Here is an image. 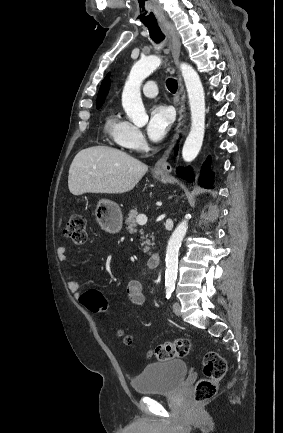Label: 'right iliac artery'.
I'll return each mask as SVG.
<instances>
[{
  "instance_id": "right-iliac-artery-1",
  "label": "right iliac artery",
  "mask_w": 283,
  "mask_h": 433,
  "mask_svg": "<svg viewBox=\"0 0 283 433\" xmlns=\"http://www.w3.org/2000/svg\"><path fill=\"white\" fill-rule=\"evenodd\" d=\"M173 290H174V289H173L172 287H168V288L166 289V298H167V299L170 298L171 293H172Z\"/></svg>"
}]
</instances>
